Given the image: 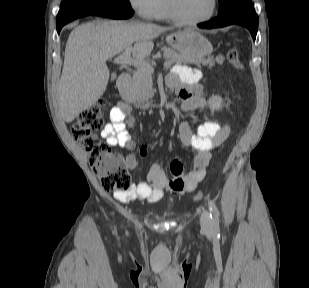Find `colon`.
<instances>
[{
	"mask_svg": "<svg viewBox=\"0 0 309 288\" xmlns=\"http://www.w3.org/2000/svg\"><path fill=\"white\" fill-rule=\"evenodd\" d=\"M226 56L234 68L242 70L235 49H230ZM107 105V100L101 98L83 109L73 123L71 132L76 142L88 153L89 166L98 176L102 187L114 194H124L129 192L131 184L126 159L114 152L111 146L96 134L103 125ZM202 196V190H198L193 194L192 199L199 201Z\"/></svg>",
	"mask_w": 309,
	"mask_h": 288,
	"instance_id": "colon-1",
	"label": "colon"
}]
</instances>
